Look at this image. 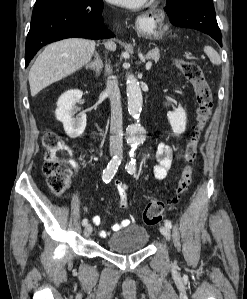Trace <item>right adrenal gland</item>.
<instances>
[{
	"instance_id": "2a0ac1e0",
	"label": "right adrenal gland",
	"mask_w": 247,
	"mask_h": 299,
	"mask_svg": "<svg viewBox=\"0 0 247 299\" xmlns=\"http://www.w3.org/2000/svg\"><path fill=\"white\" fill-rule=\"evenodd\" d=\"M88 67L96 73V76L100 75L103 68V63L97 52L94 53V60L88 64Z\"/></svg>"
}]
</instances>
